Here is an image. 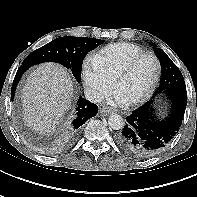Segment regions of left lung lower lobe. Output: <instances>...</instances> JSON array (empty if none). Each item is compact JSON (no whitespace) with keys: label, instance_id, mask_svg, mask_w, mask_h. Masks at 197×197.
<instances>
[{"label":"left lung lower lobe","instance_id":"1","mask_svg":"<svg viewBox=\"0 0 197 197\" xmlns=\"http://www.w3.org/2000/svg\"><path fill=\"white\" fill-rule=\"evenodd\" d=\"M169 112L156 114L153 100H149L126 117L118 133V145L136 158H148L162 151L179 131L187 105L186 88H175L168 93Z\"/></svg>","mask_w":197,"mask_h":197}]
</instances>
